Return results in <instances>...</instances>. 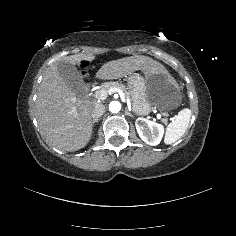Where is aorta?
<instances>
[{
  "instance_id": "762f6f07",
  "label": "aorta",
  "mask_w": 236,
  "mask_h": 236,
  "mask_svg": "<svg viewBox=\"0 0 236 236\" xmlns=\"http://www.w3.org/2000/svg\"><path fill=\"white\" fill-rule=\"evenodd\" d=\"M109 110L112 113H118L121 110V104L118 101H112L109 104Z\"/></svg>"
}]
</instances>
